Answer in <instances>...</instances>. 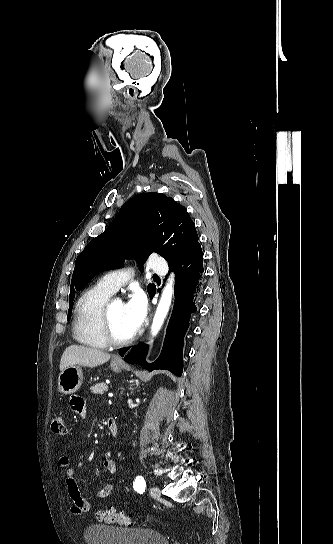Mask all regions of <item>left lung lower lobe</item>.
I'll return each instance as SVG.
<instances>
[{
	"label": "left lung lower lobe",
	"mask_w": 333,
	"mask_h": 544,
	"mask_svg": "<svg viewBox=\"0 0 333 544\" xmlns=\"http://www.w3.org/2000/svg\"><path fill=\"white\" fill-rule=\"evenodd\" d=\"M171 268L176 274L175 304L161 355L154 363L147 364L145 362L147 346L138 344L124 356V360L131 364L137 363L147 369L169 370L181 376L183 337L189 327L192 314L197 311L202 291L204 268L201 246L195 248L184 261ZM155 293L156 291L150 296L151 299ZM124 353L125 351L121 355L123 356Z\"/></svg>",
	"instance_id": "1"
}]
</instances>
